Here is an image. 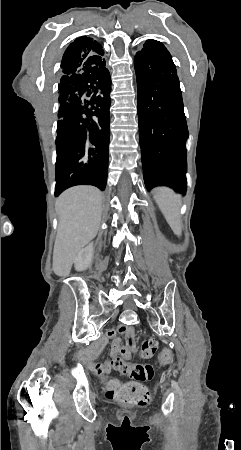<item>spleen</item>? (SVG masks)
<instances>
[{
  "instance_id": "spleen-1",
  "label": "spleen",
  "mask_w": 241,
  "mask_h": 450,
  "mask_svg": "<svg viewBox=\"0 0 241 450\" xmlns=\"http://www.w3.org/2000/svg\"><path fill=\"white\" fill-rule=\"evenodd\" d=\"M154 200L159 206L166 222L176 236H181V222L179 210L181 206L180 194H175L170 188H155Z\"/></svg>"
}]
</instances>
